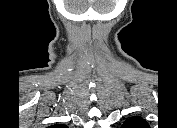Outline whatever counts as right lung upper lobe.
I'll return each instance as SVG.
<instances>
[{
    "mask_svg": "<svg viewBox=\"0 0 177 128\" xmlns=\"http://www.w3.org/2000/svg\"><path fill=\"white\" fill-rule=\"evenodd\" d=\"M51 127H53V128H64L65 126L64 125H60V124H56V125H53Z\"/></svg>",
    "mask_w": 177,
    "mask_h": 128,
    "instance_id": "obj_1",
    "label": "right lung upper lobe"
}]
</instances>
